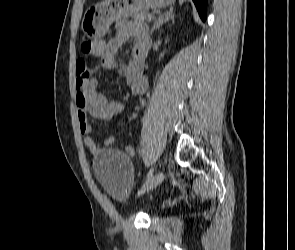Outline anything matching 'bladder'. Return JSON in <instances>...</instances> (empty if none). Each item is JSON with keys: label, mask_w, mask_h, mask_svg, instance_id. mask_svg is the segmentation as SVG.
Masks as SVG:
<instances>
[{"label": "bladder", "mask_w": 295, "mask_h": 250, "mask_svg": "<svg viewBox=\"0 0 295 250\" xmlns=\"http://www.w3.org/2000/svg\"><path fill=\"white\" fill-rule=\"evenodd\" d=\"M130 163L127 154L114 148L102 150L92 162L97 182L113 199L121 202L131 201Z\"/></svg>", "instance_id": "31cf9c89"}]
</instances>
